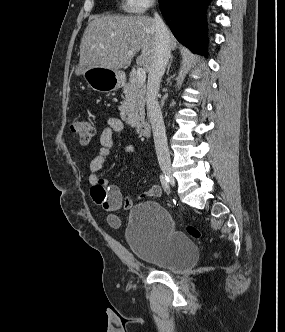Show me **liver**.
I'll list each match as a JSON object with an SVG mask.
<instances>
[{"label":"liver","instance_id":"liver-1","mask_svg":"<svg viewBox=\"0 0 285 332\" xmlns=\"http://www.w3.org/2000/svg\"><path fill=\"white\" fill-rule=\"evenodd\" d=\"M176 46L177 41L170 34L171 49ZM139 51L141 55L136 59V63L149 72L155 52L154 19L148 16L95 17L84 31L79 65L75 73L79 76L94 67L119 70Z\"/></svg>","mask_w":285,"mask_h":332}]
</instances>
